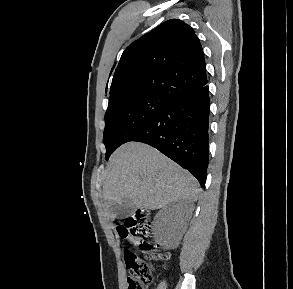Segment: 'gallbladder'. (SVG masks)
Returning a JSON list of instances; mask_svg holds the SVG:
<instances>
[{"label": "gallbladder", "instance_id": "bac80fb5", "mask_svg": "<svg viewBox=\"0 0 293 289\" xmlns=\"http://www.w3.org/2000/svg\"><path fill=\"white\" fill-rule=\"evenodd\" d=\"M135 206L130 198H124L120 203H113L108 211L109 213L117 218H126L132 214Z\"/></svg>", "mask_w": 293, "mask_h": 289}]
</instances>
